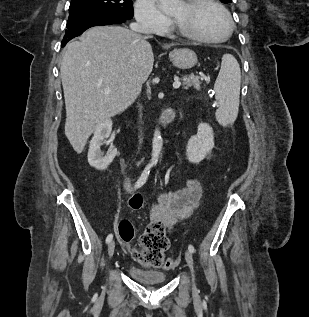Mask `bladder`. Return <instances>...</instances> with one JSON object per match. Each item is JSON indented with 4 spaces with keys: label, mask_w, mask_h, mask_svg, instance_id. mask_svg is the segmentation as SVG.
I'll use <instances>...</instances> for the list:
<instances>
[{
    "label": "bladder",
    "mask_w": 309,
    "mask_h": 317,
    "mask_svg": "<svg viewBox=\"0 0 309 317\" xmlns=\"http://www.w3.org/2000/svg\"><path fill=\"white\" fill-rule=\"evenodd\" d=\"M127 271L131 278L142 284L155 285L162 284L166 281V274L160 270L143 269L131 265L128 267Z\"/></svg>",
    "instance_id": "31cf9c89"
}]
</instances>
